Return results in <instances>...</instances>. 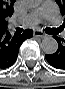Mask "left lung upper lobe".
Instances as JSON below:
<instances>
[{"instance_id":"obj_1","label":"left lung upper lobe","mask_w":65,"mask_h":89,"mask_svg":"<svg viewBox=\"0 0 65 89\" xmlns=\"http://www.w3.org/2000/svg\"><path fill=\"white\" fill-rule=\"evenodd\" d=\"M56 2L60 7L61 13L65 15V0H56ZM63 26L65 27V23L63 24Z\"/></svg>"}]
</instances>
